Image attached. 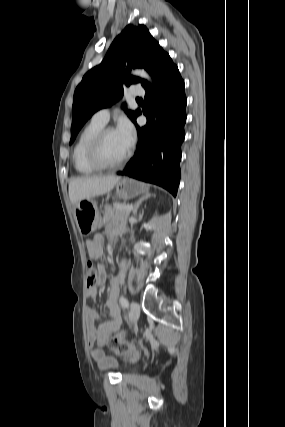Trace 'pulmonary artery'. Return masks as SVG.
<instances>
[{"mask_svg":"<svg viewBox=\"0 0 285 427\" xmlns=\"http://www.w3.org/2000/svg\"><path fill=\"white\" fill-rule=\"evenodd\" d=\"M129 95L131 97H142L145 95V89L140 86V85H133L130 88V92ZM109 116H110V110L108 108H103L98 110L94 115L93 118L94 120L106 124L109 120Z\"/></svg>","mask_w":285,"mask_h":427,"instance_id":"obj_1","label":"pulmonary artery"}]
</instances>
